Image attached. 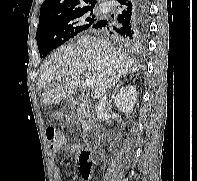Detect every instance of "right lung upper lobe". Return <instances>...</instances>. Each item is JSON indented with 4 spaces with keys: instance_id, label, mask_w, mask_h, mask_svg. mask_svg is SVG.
Masks as SVG:
<instances>
[{
    "instance_id": "right-lung-upper-lobe-1",
    "label": "right lung upper lobe",
    "mask_w": 197,
    "mask_h": 181,
    "mask_svg": "<svg viewBox=\"0 0 197 181\" xmlns=\"http://www.w3.org/2000/svg\"><path fill=\"white\" fill-rule=\"evenodd\" d=\"M96 4V0H45L40 9L39 20L61 15L85 6Z\"/></svg>"
}]
</instances>
